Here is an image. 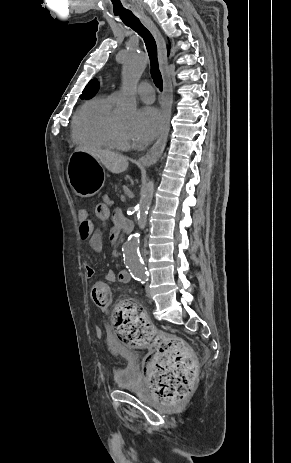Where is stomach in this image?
Segmentation results:
<instances>
[{
    "mask_svg": "<svg viewBox=\"0 0 291 463\" xmlns=\"http://www.w3.org/2000/svg\"><path fill=\"white\" fill-rule=\"evenodd\" d=\"M67 178L77 195L93 196L102 184L103 171L100 161L87 152L74 151L68 161Z\"/></svg>",
    "mask_w": 291,
    "mask_h": 463,
    "instance_id": "1",
    "label": "stomach"
}]
</instances>
